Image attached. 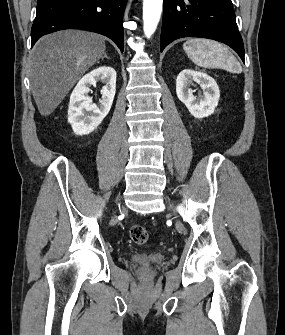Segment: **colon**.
I'll return each mask as SVG.
<instances>
[{
    "label": "colon",
    "mask_w": 285,
    "mask_h": 335,
    "mask_svg": "<svg viewBox=\"0 0 285 335\" xmlns=\"http://www.w3.org/2000/svg\"><path fill=\"white\" fill-rule=\"evenodd\" d=\"M131 240L136 244H144L148 240L147 230L141 225H133L129 231Z\"/></svg>",
    "instance_id": "colon-1"
}]
</instances>
